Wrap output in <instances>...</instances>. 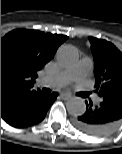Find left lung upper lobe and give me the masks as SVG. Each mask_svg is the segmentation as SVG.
<instances>
[{"label":"left lung upper lobe","mask_w":122,"mask_h":154,"mask_svg":"<svg viewBox=\"0 0 122 154\" xmlns=\"http://www.w3.org/2000/svg\"><path fill=\"white\" fill-rule=\"evenodd\" d=\"M89 40L95 63V92L100 98L122 92V53L106 40Z\"/></svg>","instance_id":"5c2ea615"}]
</instances>
